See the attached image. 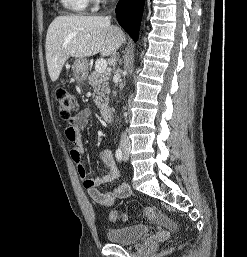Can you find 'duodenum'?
I'll return each instance as SVG.
<instances>
[{"mask_svg": "<svg viewBox=\"0 0 247 257\" xmlns=\"http://www.w3.org/2000/svg\"><path fill=\"white\" fill-rule=\"evenodd\" d=\"M101 115L105 121H110L112 118V109L109 106H104L101 109Z\"/></svg>", "mask_w": 247, "mask_h": 257, "instance_id": "duodenum-1", "label": "duodenum"}]
</instances>
